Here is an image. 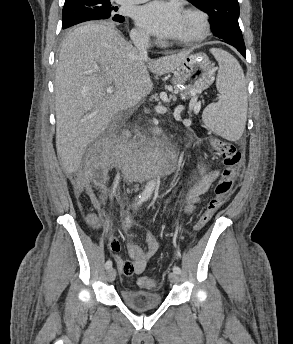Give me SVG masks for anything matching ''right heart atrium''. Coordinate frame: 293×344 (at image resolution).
I'll use <instances>...</instances> for the list:
<instances>
[{"label":"right heart atrium","instance_id":"right-heart-atrium-1","mask_svg":"<svg viewBox=\"0 0 293 344\" xmlns=\"http://www.w3.org/2000/svg\"><path fill=\"white\" fill-rule=\"evenodd\" d=\"M132 37L136 41H148L149 37L146 33L139 31V30H133L132 31Z\"/></svg>","mask_w":293,"mask_h":344}]
</instances>
